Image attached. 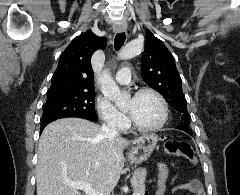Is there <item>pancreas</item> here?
Masks as SVG:
<instances>
[{"label":"pancreas","mask_w":240,"mask_h":195,"mask_svg":"<svg viewBox=\"0 0 240 195\" xmlns=\"http://www.w3.org/2000/svg\"><path fill=\"white\" fill-rule=\"evenodd\" d=\"M147 171L145 167H138L134 175L130 179V183L134 189V193H144L146 187L144 185L146 179Z\"/></svg>","instance_id":"cf45deb5"}]
</instances>
